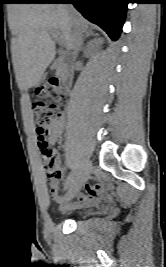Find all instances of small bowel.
Masks as SVG:
<instances>
[{"instance_id": "1", "label": "small bowel", "mask_w": 166, "mask_h": 267, "mask_svg": "<svg viewBox=\"0 0 166 267\" xmlns=\"http://www.w3.org/2000/svg\"><path fill=\"white\" fill-rule=\"evenodd\" d=\"M65 118H61L49 126L48 139L51 144H56L62 137L65 129ZM57 175L49 179L51 198L60 204L64 210H75L84 206H89L99 199L103 198L106 194V187L103 183L97 182L95 184L86 185L85 193H80L78 201L71 204H65L64 199L59 192L60 180L63 177V172L60 169V160L57 153L54 154L52 159Z\"/></svg>"}]
</instances>
